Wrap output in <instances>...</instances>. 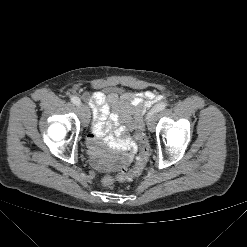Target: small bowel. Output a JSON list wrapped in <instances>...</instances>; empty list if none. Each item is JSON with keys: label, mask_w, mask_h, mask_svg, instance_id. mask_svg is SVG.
Returning a JSON list of instances; mask_svg holds the SVG:
<instances>
[{"label": "small bowel", "mask_w": 247, "mask_h": 247, "mask_svg": "<svg viewBox=\"0 0 247 247\" xmlns=\"http://www.w3.org/2000/svg\"><path fill=\"white\" fill-rule=\"evenodd\" d=\"M93 113L92 131L87 137L91 159L96 168L114 172L128 166L137 153V144L127 135L142 127L143 115L152 104L161 99L152 91L82 93ZM114 131V134L111 131ZM104 145L119 153L106 157Z\"/></svg>", "instance_id": "1"}]
</instances>
